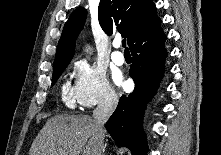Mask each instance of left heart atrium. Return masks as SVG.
<instances>
[{"instance_id": "1", "label": "left heart atrium", "mask_w": 221, "mask_h": 155, "mask_svg": "<svg viewBox=\"0 0 221 155\" xmlns=\"http://www.w3.org/2000/svg\"><path fill=\"white\" fill-rule=\"evenodd\" d=\"M115 82L118 84V85H121L122 84V78L120 76H116L114 78Z\"/></svg>"}]
</instances>
